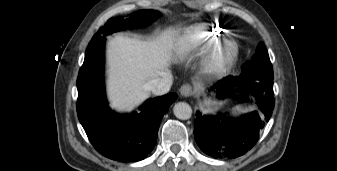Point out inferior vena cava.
Here are the masks:
<instances>
[{
    "label": "inferior vena cava",
    "mask_w": 337,
    "mask_h": 171,
    "mask_svg": "<svg viewBox=\"0 0 337 171\" xmlns=\"http://www.w3.org/2000/svg\"><path fill=\"white\" fill-rule=\"evenodd\" d=\"M172 85V74L165 73L162 78L149 81L146 85L147 89L155 95H163L169 92Z\"/></svg>",
    "instance_id": "1"
}]
</instances>
